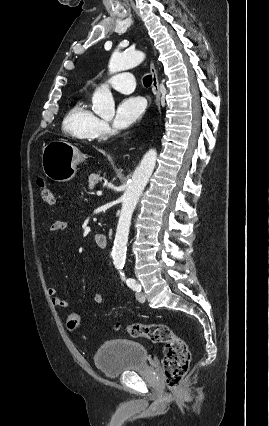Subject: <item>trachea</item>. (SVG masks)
Wrapping results in <instances>:
<instances>
[{"instance_id":"3493384b","label":"trachea","mask_w":269,"mask_h":426,"mask_svg":"<svg viewBox=\"0 0 269 426\" xmlns=\"http://www.w3.org/2000/svg\"><path fill=\"white\" fill-rule=\"evenodd\" d=\"M143 84L145 87H149L152 84V76L147 75L143 78Z\"/></svg>"}]
</instances>
